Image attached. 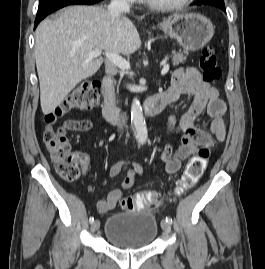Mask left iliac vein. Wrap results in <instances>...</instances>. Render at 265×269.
<instances>
[{"instance_id":"4c4485c4","label":"left iliac vein","mask_w":265,"mask_h":269,"mask_svg":"<svg viewBox=\"0 0 265 269\" xmlns=\"http://www.w3.org/2000/svg\"><path fill=\"white\" fill-rule=\"evenodd\" d=\"M161 227H162V229L164 230L165 233H170L171 225L168 222L162 221L161 222Z\"/></svg>"}]
</instances>
